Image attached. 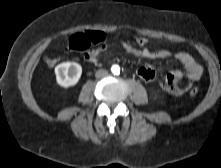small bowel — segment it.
<instances>
[{
  "mask_svg": "<svg viewBox=\"0 0 221 168\" xmlns=\"http://www.w3.org/2000/svg\"><path fill=\"white\" fill-rule=\"evenodd\" d=\"M121 46L126 53L138 58L155 60L166 59L174 56L175 59L183 65L184 71L175 70L169 73L160 83L161 88L171 95H182L192 86L194 82L200 79L203 74V67L195 60L192 55L187 52L179 51L172 55V53L168 50H154L147 47H135L127 42H123ZM107 49L108 46L105 44L91 49L85 55L86 61L96 63L99 60L101 54ZM137 74L142 80L146 82H150L155 78V71L149 67L139 68ZM182 80H186V85L183 87L179 85Z\"/></svg>",
  "mask_w": 221,
  "mask_h": 168,
  "instance_id": "small-bowel-1",
  "label": "small bowel"
}]
</instances>
